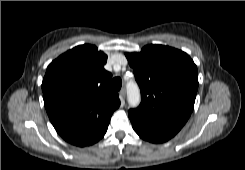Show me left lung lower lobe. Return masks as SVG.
<instances>
[{
    "label": "left lung lower lobe",
    "mask_w": 245,
    "mask_h": 170,
    "mask_svg": "<svg viewBox=\"0 0 245 170\" xmlns=\"http://www.w3.org/2000/svg\"><path fill=\"white\" fill-rule=\"evenodd\" d=\"M128 115L135 132L142 139L149 142H165L175 136L181 129L178 126L152 119L132 110H129Z\"/></svg>",
    "instance_id": "left-lung-lower-lobe-1"
}]
</instances>
